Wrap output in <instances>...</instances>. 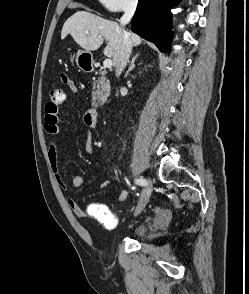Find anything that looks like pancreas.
I'll use <instances>...</instances> for the list:
<instances>
[{
	"label": "pancreas",
	"instance_id": "obj_1",
	"mask_svg": "<svg viewBox=\"0 0 249 294\" xmlns=\"http://www.w3.org/2000/svg\"><path fill=\"white\" fill-rule=\"evenodd\" d=\"M106 71L103 70L100 72L101 76L98 77L97 80L93 82V101L95 103V106H97L96 101H100L101 103H104L107 99V97L110 95V82L105 77Z\"/></svg>",
	"mask_w": 249,
	"mask_h": 294
}]
</instances>
